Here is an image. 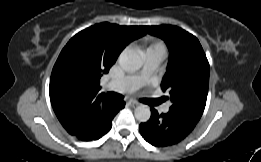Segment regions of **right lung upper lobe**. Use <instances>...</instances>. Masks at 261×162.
Masks as SVG:
<instances>
[{
  "label": "right lung upper lobe",
  "mask_w": 261,
  "mask_h": 162,
  "mask_svg": "<svg viewBox=\"0 0 261 162\" xmlns=\"http://www.w3.org/2000/svg\"><path fill=\"white\" fill-rule=\"evenodd\" d=\"M143 35L142 26L105 22L77 33L63 48L52 70L49 94L57 118L70 134L113 106L114 101L98 94L100 78L126 45Z\"/></svg>",
  "instance_id": "obj_1"
}]
</instances>
